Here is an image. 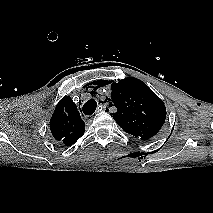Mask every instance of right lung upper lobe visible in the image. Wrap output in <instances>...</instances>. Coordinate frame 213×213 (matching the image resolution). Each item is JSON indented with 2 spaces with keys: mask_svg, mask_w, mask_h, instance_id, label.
<instances>
[{
  "mask_svg": "<svg viewBox=\"0 0 213 213\" xmlns=\"http://www.w3.org/2000/svg\"><path fill=\"white\" fill-rule=\"evenodd\" d=\"M50 130L55 141L66 146L74 144L84 134L85 123L69 96L58 102L50 120Z\"/></svg>",
  "mask_w": 213,
  "mask_h": 213,
  "instance_id": "right-lung-upper-lobe-1",
  "label": "right lung upper lobe"
}]
</instances>
